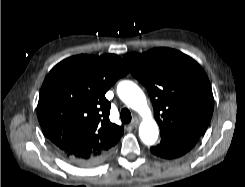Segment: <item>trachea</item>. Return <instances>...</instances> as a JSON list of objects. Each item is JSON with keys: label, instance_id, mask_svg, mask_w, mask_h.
<instances>
[{"label": "trachea", "instance_id": "obj_1", "mask_svg": "<svg viewBox=\"0 0 245 187\" xmlns=\"http://www.w3.org/2000/svg\"><path fill=\"white\" fill-rule=\"evenodd\" d=\"M122 123H129L131 121V113L127 108H123L120 113Z\"/></svg>", "mask_w": 245, "mask_h": 187}]
</instances>
